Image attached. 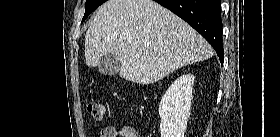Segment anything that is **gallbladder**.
<instances>
[{"label": "gallbladder", "mask_w": 280, "mask_h": 137, "mask_svg": "<svg viewBox=\"0 0 280 137\" xmlns=\"http://www.w3.org/2000/svg\"><path fill=\"white\" fill-rule=\"evenodd\" d=\"M121 65V60L118 59L116 56L112 54H105L100 60L98 69L101 74L112 76L116 75L119 72Z\"/></svg>", "instance_id": "obj_1"}]
</instances>
